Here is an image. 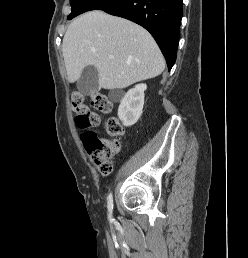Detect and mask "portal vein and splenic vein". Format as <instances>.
Segmentation results:
<instances>
[{"label": "portal vein and splenic vein", "mask_w": 248, "mask_h": 258, "mask_svg": "<svg viewBox=\"0 0 248 258\" xmlns=\"http://www.w3.org/2000/svg\"><path fill=\"white\" fill-rule=\"evenodd\" d=\"M109 59H113V56H109Z\"/></svg>", "instance_id": "obj_1"}]
</instances>
